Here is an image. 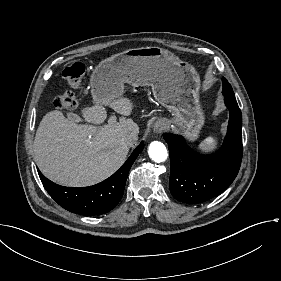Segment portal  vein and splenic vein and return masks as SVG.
<instances>
[{
  "instance_id": "obj_1",
  "label": "portal vein and splenic vein",
  "mask_w": 281,
  "mask_h": 281,
  "mask_svg": "<svg viewBox=\"0 0 281 281\" xmlns=\"http://www.w3.org/2000/svg\"><path fill=\"white\" fill-rule=\"evenodd\" d=\"M114 123H115V117H110V118H108V120H107L106 126H107V127H110V126H112Z\"/></svg>"
}]
</instances>
